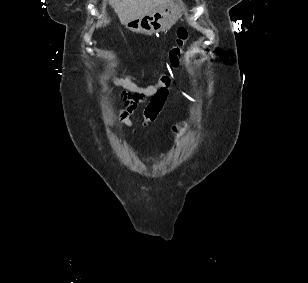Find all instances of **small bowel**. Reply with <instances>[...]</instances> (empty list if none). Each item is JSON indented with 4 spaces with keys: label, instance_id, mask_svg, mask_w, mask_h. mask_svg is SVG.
<instances>
[{
    "label": "small bowel",
    "instance_id": "c3829d8e",
    "mask_svg": "<svg viewBox=\"0 0 308 283\" xmlns=\"http://www.w3.org/2000/svg\"><path fill=\"white\" fill-rule=\"evenodd\" d=\"M112 83L122 89L118 96L120 107L117 111L120 121L128 127L134 126L132 116L137 109L146 103L143 110V123L147 125L155 121L169 95L170 84H165L161 81L147 86H140L128 77L114 75Z\"/></svg>",
    "mask_w": 308,
    "mask_h": 283
}]
</instances>
